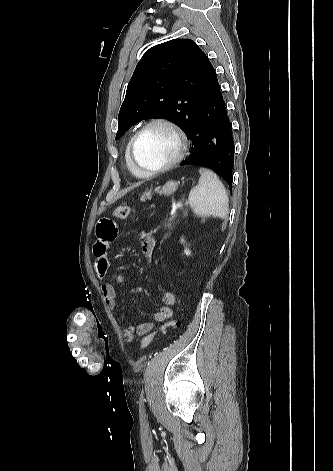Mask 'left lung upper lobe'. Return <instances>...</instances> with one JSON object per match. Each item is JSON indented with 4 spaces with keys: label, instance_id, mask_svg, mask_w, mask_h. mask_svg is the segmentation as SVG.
Here are the masks:
<instances>
[{
    "label": "left lung upper lobe",
    "instance_id": "obj_1",
    "mask_svg": "<svg viewBox=\"0 0 333 471\" xmlns=\"http://www.w3.org/2000/svg\"><path fill=\"white\" fill-rule=\"evenodd\" d=\"M215 74L205 53L190 39L150 48L128 83L116 139L139 121L153 117L172 120L188 134Z\"/></svg>",
    "mask_w": 333,
    "mask_h": 471
}]
</instances>
